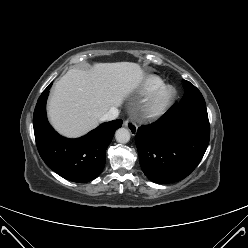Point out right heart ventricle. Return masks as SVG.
Returning a JSON list of instances; mask_svg holds the SVG:
<instances>
[{
    "label": "right heart ventricle",
    "instance_id": "right-heart-ventricle-1",
    "mask_svg": "<svg viewBox=\"0 0 248 248\" xmlns=\"http://www.w3.org/2000/svg\"><path fill=\"white\" fill-rule=\"evenodd\" d=\"M162 84H163V80L159 76L150 75L143 82L141 87V92L143 94H149Z\"/></svg>",
    "mask_w": 248,
    "mask_h": 248
}]
</instances>
